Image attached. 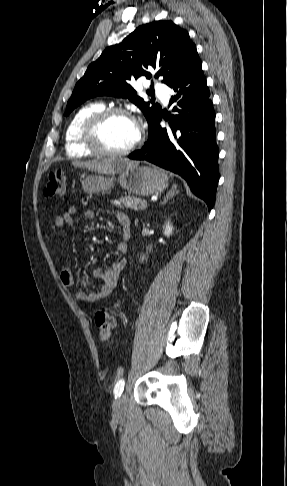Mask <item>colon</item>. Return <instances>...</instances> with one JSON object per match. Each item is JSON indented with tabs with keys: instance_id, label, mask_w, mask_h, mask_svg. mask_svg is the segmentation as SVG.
<instances>
[{
	"instance_id": "obj_1",
	"label": "colon",
	"mask_w": 287,
	"mask_h": 486,
	"mask_svg": "<svg viewBox=\"0 0 287 486\" xmlns=\"http://www.w3.org/2000/svg\"><path fill=\"white\" fill-rule=\"evenodd\" d=\"M65 191V174L62 171L51 172L44 186V195L49 198L56 197L63 195ZM95 323L100 341H109L116 326V319L113 312L105 307L99 308L95 314Z\"/></svg>"
}]
</instances>
